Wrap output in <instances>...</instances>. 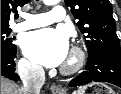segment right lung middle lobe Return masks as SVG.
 <instances>
[{"instance_id": "right-lung-middle-lobe-1", "label": "right lung middle lobe", "mask_w": 121, "mask_h": 94, "mask_svg": "<svg viewBox=\"0 0 121 94\" xmlns=\"http://www.w3.org/2000/svg\"><path fill=\"white\" fill-rule=\"evenodd\" d=\"M11 29L1 30V50H13L16 49V45L12 44V39L9 38Z\"/></svg>"}]
</instances>
